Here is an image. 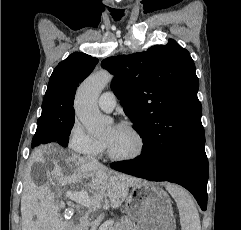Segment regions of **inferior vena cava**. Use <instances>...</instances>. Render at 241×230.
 <instances>
[{"instance_id":"inferior-vena-cava-1","label":"inferior vena cava","mask_w":241,"mask_h":230,"mask_svg":"<svg viewBox=\"0 0 241 230\" xmlns=\"http://www.w3.org/2000/svg\"><path fill=\"white\" fill-rule=\"evenodd\" d=\"M88 160L93 165H100V163L96 159H94L92 157H88Z\"/></svg>"}]
</instances>
